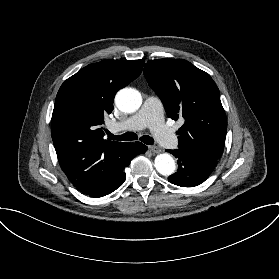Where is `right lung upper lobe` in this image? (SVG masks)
Masks as SVG:
<instances>
[{"label":"right lung upper lobe","instance_id":"right-lung-upper-lobe-1","mask_svg":"<svg viewBox=\"0 0 279 279\" xmlns=\"http://www.w3.org/2000/svg\"><path fill=\"white\" fill-rule=\"evenodd\" d=\"M144 60L89 64L61 85L51 119L59 164L83 194L94 193L123 162L131 143L104 139V113L116 92L136 79Z\"/></svg>","mask_w":279,"mask_h":279}]
</instances>
